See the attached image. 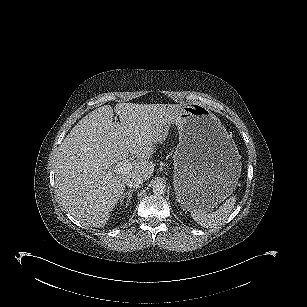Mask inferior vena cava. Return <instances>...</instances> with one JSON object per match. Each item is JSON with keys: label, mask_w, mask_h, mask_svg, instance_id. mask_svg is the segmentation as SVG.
Here are the masks:
<instances>
[{"label": "inferior vena cava", "mask_w": 307, "mask_h": 307, "mask_svg": "<svg viewBox=\"0 0 307 307\" xmlns=\"http://www.w3.org/2000/svg\"><path fill=\"white\" fill-rule=\"evenodd\" d=\"M143 178L140 176H134L131 177L130 179H128L126 185L130 188V189H137L140 188L143 185Z\"/></svg>", "instance_id": "obj_1"}]
</instances>
